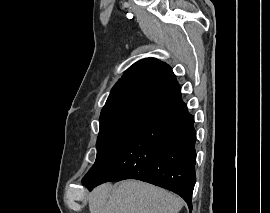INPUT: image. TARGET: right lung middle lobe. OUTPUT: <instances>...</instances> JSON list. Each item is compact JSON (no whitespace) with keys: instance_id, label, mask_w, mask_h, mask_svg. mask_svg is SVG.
<instances>
[{"instance_id":"right-lung-middle-lobe-1","label":"right lung middle lobe","mask_w":270,"mask_h":213,"mask_svg":"<svg viewBox=\"0 0 270 213\" xmlns=\"http://www.w3.org/2000/svg\"><path fill=\"white\" fill-rule=\"evenodd\" d=\"M155 106L149 103H133L101 114L97 157L82 182L93 178L109 163Z\"/></svg>"}]
</instances>
